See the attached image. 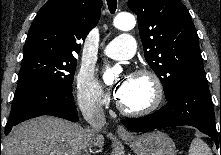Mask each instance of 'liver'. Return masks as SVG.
<instances>
[{
  "label": "liver",
  "instance_id": "obj_1",
  "mask_svg": "<svg viewBox=\"0 0 221 155\" xmlns=\"http://www.w3.org/2000/svg\"><path fill=\"white\" fill-rule=\"evenodd\" d=\"M86 129L51 116H41L12 128L3 143V155H80ZM104 137L95 145L102 148Z\"/></svg>",
  "mask_w": 221,
  "mask_h": 155
}]
</instances>
